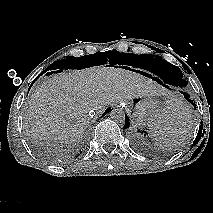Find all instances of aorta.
I'll return each instance as SVG.
<instances>
[{"label":"aorta","instance_id":"obj_1","mask_svg":"<svg viewBox=\"0 0 213 213\" xmlns=\"http://www.w3.org/2000/svg\"><path fill=\"white\" fill-rule=\"evenodd\" d=\"M110 117L113 121L117 123H124L126 115L122 109L118 108V109H114L110 113Z\"/></svg>","mask_w":213,"mask_h":213}]
</instances>
